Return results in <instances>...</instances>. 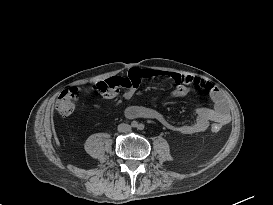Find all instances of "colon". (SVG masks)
I'll use <instances>...</instances> for the list:
<instances>
[{"label": "colon", "instance_id": "5ec220e1", "mask_svg": "<svg viewBox=\"0 0 273 205\" xmlns=\"http://www.w3.org/2000/svg\"><path fill=\"white\" fill-rule=\"evenodd\" d=\"M141 77L138 73H132L130 76V84L132 86H137L140 81ZM77 103V92L74 89H66L60 93L56 101V109L58 112L64 116L70 115L75 110ZM221 127L217 124H213L211 130L214 133L219 132Z\"/></svg>", "mask_w": 273, "mask_h": 205}]
</instances>
